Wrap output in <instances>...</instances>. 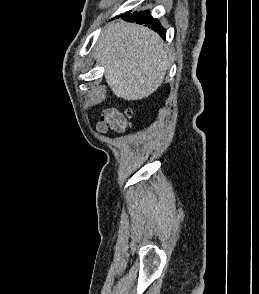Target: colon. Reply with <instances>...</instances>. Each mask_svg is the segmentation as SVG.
I'll list each match as a JSON object with an SVG mask.
<instances>
[{
    "label": "colon",
    "mask_w": 259,
    "mask_h": 294,
    "mask_svg": "<svg viewBox=\"0 0 259 294\" xmlns=\"http://www.w3.org/2000/svg\"><path fill=\"white\" fill-rule=\"evenodd\" d=\"M128 115L131 116V112H128Z\"/></svg>",
    "instance_id": "colon-1"
}]
</instances>
